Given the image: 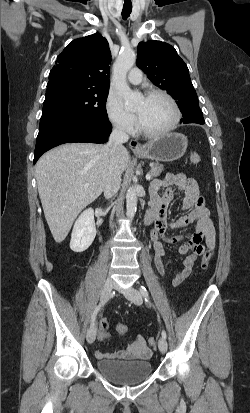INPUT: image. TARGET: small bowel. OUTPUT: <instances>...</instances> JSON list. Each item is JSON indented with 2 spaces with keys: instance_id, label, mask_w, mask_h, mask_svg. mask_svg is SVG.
<instances>
[{
  "instance_id": "c3829d8e",
  "label": "small bowel",
  "mask_w": 250,
  "mask_h": 413,
  "mask_svg": "<svg viewBox=\"0 0 250 413\" xmlns=\"http://www.w3.org/2000/svg\"><path fill=\"white\" fill-rule=\"evenodd\" d=\"M176 191L183 192L184 198L181 205L183 210H190L176 220L167 219V209ZM151 208L157 212L155 225L151 231V241L155 252L154 262L158 272L164 275L167 268L164 259L167 256L166 244L179 245L178 253L184 255L181 269L172 279L173 285H179L192 273L193 267L205 249L215 247V228L209 217L203 197L200 196L199 187L194 178L185 174H167L163 179L152 182ZM195 224L191 234L168 235L169 229H179ZM205 239V245L201 244ZM117 330V329H116ZM99 339H107L105 331H99ZM152 350L147 346L143 336L137 335L133 342L125 349L114 352L96 351L98 359H148Z\"/></svg>"
}]
</instances>
